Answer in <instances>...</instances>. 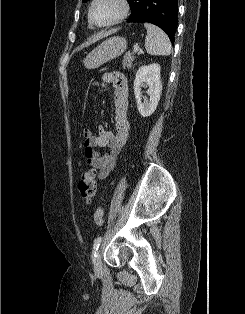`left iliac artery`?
Instances as JSON below:
<instances>
[{"label":"left iliac artery","mask_w":245,"mask_h":314,"mask_svg":"<svg viewBox=\"0 0 245 314\" xmlns=\"http://www.w3.org/2000/svg\"><path fill=\"white\" fill-rule=\"evenodd\" d=\"M102 241V237H97L95 240H94V245H93V251H92V255L95 257L96 255V250H98V247L100 246V243Z\"/></svg>","instance_id":"44dca946"}]
</instances>
